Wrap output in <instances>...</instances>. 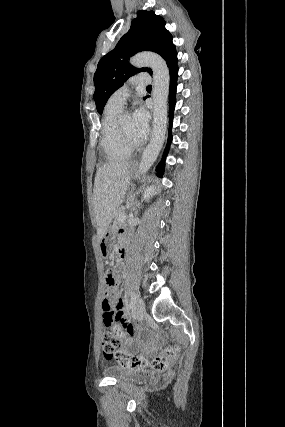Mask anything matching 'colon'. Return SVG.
Instances as JSON below:
<instances>
[{"label":"colon","mask_w":285,"mask_h":427,"mask_svg":"<svg viewBox=\"0 0 285 427\" xmlns=\"http://www.w3.org/2000/svg\"><path fill=\"white\" fill-rule=\"evenodd\" d=\"M106 291L105 296L112 293L116 283V275L112 270L105 274ZM119 316V315H118ZM117 315L115 316V318ZM111 318V317H110ZM121 343V327L118 322L108 327L102 335V349L104 357L107 360L115 359L120 365L133 370H140L149 364V360L130 353L119 350ZM180 353L179 346H171L164 349L158 356L151 361V367L157 372H164L169 369Z\"/></svg>","instance_id":"colon-1"}]
</instances>
